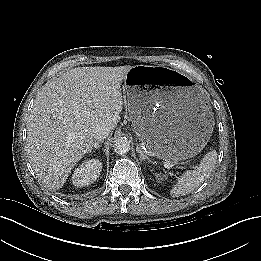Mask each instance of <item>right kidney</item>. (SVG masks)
I'll return each instance as SVG.
<instances>
[{
  "label": "right kidney",
  "mask_w": 261,
  "mask_h": 261,
  "mask_svg": "<svg viewBox=\"0 0 261 261\" xmlns=\"http://www.w3.org/2000/svg\"><path fill=\"white\" fill-rule=\"evenodd\" d=\"M101 170V161L98 159L87 160L74 170L72 183L76 187L90 185L99 177Z\"/></svg>",
  "instance_id": "obj_1"
}]
</instances>
